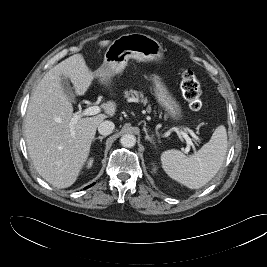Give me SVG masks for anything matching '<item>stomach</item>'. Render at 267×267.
Returning <instances> with one entry per match:
<instances>
[{
    "instance_id": "0dacf381",
    "label": "stomach",
    "mask_w": 267,
    "mask_h": 267,
    "mask_svg": "<svg viewBox=\"0 0 267 267\" xmlns=\"http://www.w3.org/2000/svg\"><path fill=\"white\" fill-rule=\"evenodd\" d=\"M130 58L142 62H159L163 59L162 45L145 34L131 33L122 35L109 45L104 56L102 69L115 76L123 72ZM152 81L154 94L160 106L173 119L182 118L179 103L170 94L161 78L158 75H153Z\"/></svg>"
}]
</instances>
